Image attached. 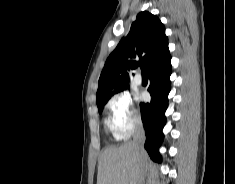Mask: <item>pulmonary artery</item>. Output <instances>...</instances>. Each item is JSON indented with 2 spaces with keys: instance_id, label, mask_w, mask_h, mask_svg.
<instances>
[{
  "instance_id": "pulmonary-artery-1",
  "label": "pulmonary artery",
  "mask_w": 235,
  "mask_h": 184,
  "mask_svg": "<svg viewBox=\"0 0 235 184\" xmlns=\"http://www.w3.org/2000/svg\"><path fill=\"white\" fill-rule=\"evenodd\" d=\"M134 83L138 86H140L142 84V77L140 74H136L134 76Z\"/></svg>"
}]
</instances>
